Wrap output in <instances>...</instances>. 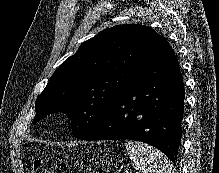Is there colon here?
<instances>
[{"instance_id":"colon-1","label":"colon","mask_w":219,"mask_h":173,"mask_svg":"<svg viewBox=\"0 0 219 173\" xmlns=\"http://www.w3.org/2000/svg\"><path fill=\"white\" fill-rule=\"evenodd\" d=\"M31 173H53V163L48 159H37Z\"/></svg>"}]
</instances>
